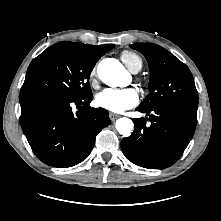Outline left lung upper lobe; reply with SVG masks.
Listing matches in <instances>:
<instances>
[{
  "instance_id": "1",
  "label": "left lung upper lobe",
  "mask_w": 221,
  "mask_h": 221,
  "mask_svg": "<svg viewBox=\"0 0 221 221\" xmlns=\"http://www.w3.org/2000/svg\"><path fill=\"white\" fill-rule=\"evenodd\" d=\"M130 47L145 56L150 68V94L140 108L152 109L170 103L198 106L194 79L184 63L157 44L137 43Z\"/></svg>"
}]
</instances>
